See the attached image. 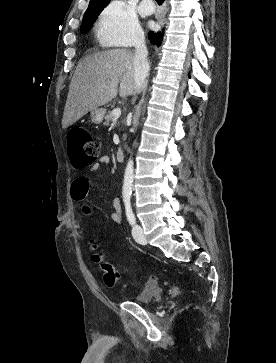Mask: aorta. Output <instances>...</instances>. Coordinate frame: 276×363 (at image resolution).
Segmentation results:
<instances>
[{"label": "aorta", "instance_id": "1", "mask_svg": "<svg viewBox=\"0 0 276 363\" xmlns=\"http://www.w3.org/2000/svg\"><path fill=\"white\" fill-rule=\"evenodd\" d=\"M133 180H134L133 160L129 159L125 169L123 191H122L124 200H130L131 198Z\"/></svg>", "mask_w": 276, "mask_h": 363}]
</instances>
